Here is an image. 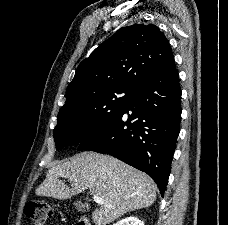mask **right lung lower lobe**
Returning <instances> with one entry per match:
<instances>
[{
  "label": "right lung lower lobe",
  "instance_id": "1",
  "mask_svg": "<svg viewBox=\"0 0 228 225\" xmlns=\"http://www.w3.org/2000/svg\"><path fill=\"white\" fill-rule=\"evenodd\" d=\"M181 88L172 58L141 83L122 109L80 143L147 173L163 196L180 130Z\"/></svg>",
  "mask_w": 228,
  "mask_h": 225
}]
</instances>
